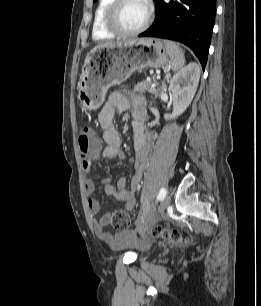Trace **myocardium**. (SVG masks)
I'll return each mask as SVG.
<instances>
[{"label": "myocardium", "instance_id": "myocardium-1", "mask_svg": "<svg viewBox=\"0 0 261 306\" xmlns=\"http://www.w3.org/2000/svg\"><path fill=\"white\" fill-rule=\"evenodd\" d=\"M125 1L126 0H112L105 11L104 23L107 29L115 35L122 37L135 36L142 33L150 25L153 17V5L150 0H143L147 7V14L144 22L136 29L127 30L124 29L118 21V12Z\"/></svg>", "mask_w": 261, "mask_h": 306}]
</instances>
